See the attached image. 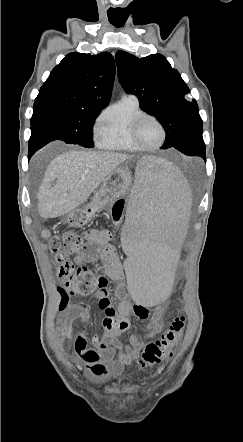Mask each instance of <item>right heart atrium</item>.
Wrapping results in <instances>:
<instances>
[{"label":"right heart atrium","mask_w":243,"mask_h":442,"mask_svg":"<svg viewBox=\"0 0 243 442\" xmlns=\"http://www.w3.org/2000/svg\"><path fill=\"white\" fill-rule=\"evenodd\" d=\"M99 124H100L99 122L96 123V125H95V130H96V128L98 127Z\"/></svg>","instance_id":"1"}]
</instances>
